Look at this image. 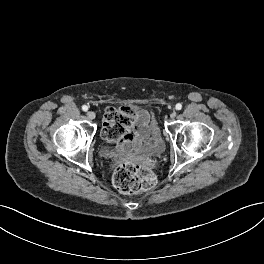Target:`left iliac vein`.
<instances>
[{
    "label": "left iliac vein",
    "mask_w": 264,
    "mask_h": 264,
    "mask_svg": "<svg viewBox=\"0 0 264 264\" xmlns=\"http://www.w3.org/2000/svg\"><path fill=\"white\" fill-rule=\"evenodd\" d=\"M176 116H177V113H176L175 111H173V112L171 113V115H170V117H171L172 119H174Z\"/></svg>",
    "instance_id": "4c4485c4"
}]
</instances>
